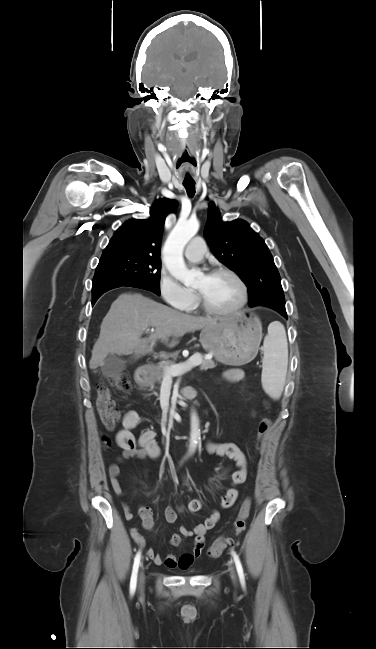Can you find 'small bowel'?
Masks as SVG:
<instances>
[{
  "label": "small bowel",
  "mask_w": 376,
  "mask_h": 649,
  "mask_svg": "<svg viewBox=\"0 0 376 649\" xmlns=\"http://www.w3.org/2000/svg\"><path fill=\"white\" fill-rule=\"evenodd\" d=\"M224 378L231 382H237L243 379V373L239 369H230L223 374ZM192 397L195 391L188 388ZM141 422L140 415L135 410L127 411L122 420V428L117 432L115 441L118 447L122 449V458H151L156 459L160 455V447L155 440V432L152 430L144 431L138 438L133 433V430L139 426ZM206 450L210 454L218 456H225L236 462L238 469L234 471L231 478L232 487L227 491L221 500L223 508L230 507L238 496L237 486L241 485L247 476L246 460L241 450L233 443H213L206 444ZM120 465L113 463L108 468V475L111 487L114 493L118 496L122 495L123 489L119 479ZM123 514L126 520L130 521L134 518L132 509L127 503L122 504ZM183 506L173 507L168 506L165 509L164 515L168 523H175L178 519V513L183 511ZM186 509L190 512H197L201 509V502L197 499L191 500ZM138 514L142 519L143 527L151 530L154 526V518L150 508L140 506ZM220 514L218 511H213L209 514L204 522L198 524L194 529H189L185 526L179 528V534H174L170 539V544L179 546L181 543V536L193 537L194 547L192 551L182 555L169 554L162 557L154 549L149 548L146 550L147 556L159 566L167 568H180L188 569L195 560H197L203 551L205 543V534L212 529L219 521ZM131 537L142 548H145V540L137 528H131Z\"/></svg>",
  "instance_id": "obj_1"
}]
</instances>
